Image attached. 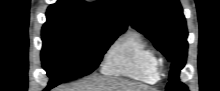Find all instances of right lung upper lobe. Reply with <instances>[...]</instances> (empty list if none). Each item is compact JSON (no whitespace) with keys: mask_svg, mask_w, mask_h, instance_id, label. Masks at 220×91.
Wrapping results in <instances>:
<instances>
[{"mask_svg":"<svg viewBox=\"0 0 220 91\" xmlns=\"http://www.w3.org/2000/svg\"><path fill=\"white\" fill-rule=\"evenodd\" d=\"M44 26L80 25L96 30L124 32L127 24L118 0L86 4L82 0H58L48 7Z\"/></svg>","mask_w":220,"mask_h":91,"instance_id":"1","label":"right lung upper lobe"}]
</instances>
